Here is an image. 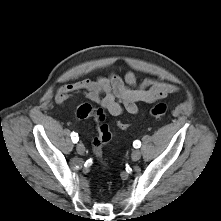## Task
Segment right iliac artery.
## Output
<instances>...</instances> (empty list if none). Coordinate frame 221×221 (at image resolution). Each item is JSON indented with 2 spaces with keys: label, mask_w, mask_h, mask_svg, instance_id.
<instances>
[{
  "label": "right iliac artery",
  "mask_w": 221,
  "mask_h": 221,
  "mask_svg": "<svg viewBox=\"0 0 221 221\" xmlns=\"http://www.w3.org/2000/svg\"><path fill=\"white\" fill-rule=\"evenodd\" d=\"M71 138H72L73 143H77L79 140L78 134L74 132L71 134Z\"/></svg>",
  "instance_id": "1"
}]
</instances>
